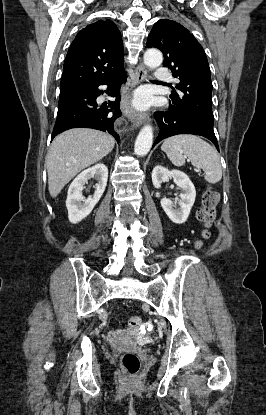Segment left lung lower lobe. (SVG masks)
Instances as JSON below:
<instances>
[{"mask_svg":"<svg viewBox=\"0 0 266 415\" xmlns=\"http://www.w3.org/2000/svg\"><path fill=\"white\" fill-rule=\"evenodd\" d=\"M160 128L159 136L153 146L161 140L178 134H195L206 137L216 146L219 151L218 142L213 130H210L198 122L185 118L177 107L169 105V111L156 112L154 114Z\"/></svg>","mask_w":266,"mask_h":415,"instance_id":"1","label":"left lung lower lobe"}]
</instances>
